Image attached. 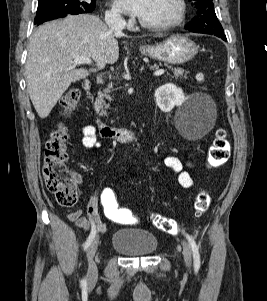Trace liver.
I'll return each mask as SVG.
<instances>
[{
    "label": "liver",
    "mask_w": 267,
    "mask_h": 301,
    "mask_svg": "<svg viewBox=\"0 0 267 301\" xmlns=\"http://www.w3.org/2000/svg\"><path fill=\"white\" fill-rule=\"evenodd\" d=\"M119 37L121 33L89 14L68 16L38 27L29 45L26 82L40 118L49 115L71 83L89 76L90 70L75 69L73 56L93 59L96 69H102L118 60Z\"/></svg>",
    "instance_id": "1"
}]
</instances>
